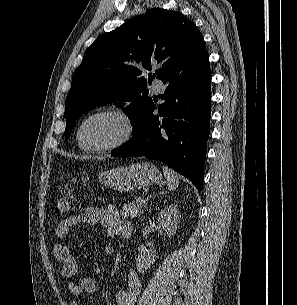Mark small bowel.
I'll return each mask as SVG.
<instances>
[{
    "label": "small bowel",
    "mask_w": 297,
    "mask_h": 305,
    "mask_svg": "<svg viewBox=\"0 0 297 305\" xmlns=\"http://www.w3.org/2000/svg\"><path fill=\"white\" fill-rule=\"evenodd\" d=\"M97 225L106 230L108 236H124L123 232L131 228V224L120 217L119 211L114 206L88 207L83 211L71 215L57 224L53 231L52 250L55 258L60 262V274L65 280L69 291L75 296L94 294L98 291L94 280L89 277L75 279L78 266L69 248L64 244L71 228L81 225ZM115 247L108 244L105 253L112 255ZM126 287L116 295V305H134L141 291V281L134 269H129L125 276ZM70 305H78L76 301Z\"/></svg>",
    "instance_id": "1"
}]
</instances>
